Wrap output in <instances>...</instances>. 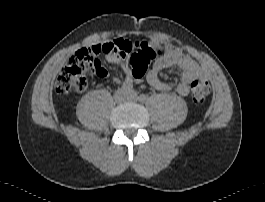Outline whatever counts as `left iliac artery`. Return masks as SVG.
Listing matches in <instances>:
<instances>
[{"label":"left iliac artery","instance_id":"1","mask_svg":"<svg viewBox=\"0 0 265 202\" xmlns=\"http://www.w3.org/2000/svg\"><path fill=\"white\" fill-rule=\"evenodd\" d=\"M139 101L145 102L147 100V96L145 94H140L138 97Z\"/></svg>","mask_w":265,"mask_h":202}]
</instances>
